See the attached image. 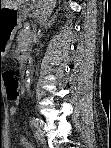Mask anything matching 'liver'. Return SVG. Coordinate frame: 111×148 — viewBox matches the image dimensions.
I'll return each instance as SVG.
<instances>
[{
    "mask_svg": "<svg viewBox=\"0 0 111 148\" xmlns=\"http://www.w3.org/2000/svg\"><path fill=\"white\" fill-rule=\"evenodd\" d=\"M26 0H2L3 8H18Z\"/></svg>",
    "mask_w": 111,
    "mask_h": 148,
    "instance_id": "6515ba94",
    "label": "liver"
}]
</instances>
